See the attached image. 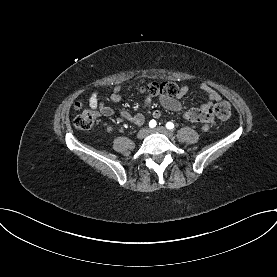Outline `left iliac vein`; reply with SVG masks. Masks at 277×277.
Listing matches in <instances>:
<instances>
[{
    "instance_id": "1",
    "label": "left iliac vein",
    "mask_w": 277,
    "mask_h": 277,
    "mask_svg": "<svg viewBox=\"0 0 277 277\" xmlns=\"http://www.w3.org/2000/svg\"><path fill=\"white\" fill-rule=\"evenodd\" d=\"M150 133H161V134L167 136L168 138L174 137V133L165 127H157V128L151 129Z\"/></svg>"
}]
</instances>
